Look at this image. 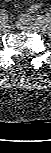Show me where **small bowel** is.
Here are the masks:
<instances>
[{"instance_id": "obj_1", "label": "small bowel", "mask_w": 51, "mask_h": 153, "mask_svg": "<svg viewBox=\"0 0 51 153\" xmlns=\"http://www.w3.org/2000/svg\"><path fill=\"white\" fill-rule=\"evenodd\" d=\"M5 1L11 2L12 0H5ZM40 8H41V4L35 3V4H32L30 7H28L27 11L29 13H33V12L38 11Z\"/></svg>"}]
</instances>
